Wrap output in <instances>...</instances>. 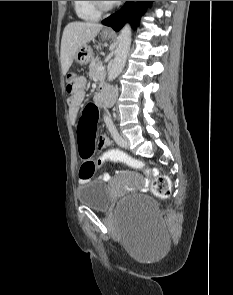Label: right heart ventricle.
I'll list each match as a JSON object with an SVG mask.
<instances>
[{
  "label": "right heart ventricle",
  "instance_id": "right-heart-ventricle-1",
  "mask_svg": "<svg viewBox=\"0 0 233 295\" xmlns=\"http://www.w3.org/2000/svg\"><path fill=\"white\" fill-rule=\"evenodd\" d=\"M75 14L78 18L86 21H95L100 18V12H98L91 1H72Z\"/></svg>",
  "mask_w": 233,
  "mask_h": 295
}]
</instances>
